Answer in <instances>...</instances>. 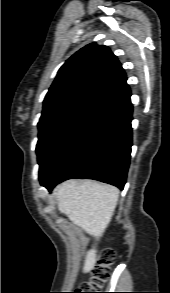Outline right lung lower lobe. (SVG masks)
<instances>
[{
    "label": "right lung lower lobe",
    "instance_id": "obj_1",
    "mask_svg": "<svg viewBox=\"0 0 170 293\" xmlns=\"http://www.w3.org/2000/svg\"><path fill=\"white\" fill-rule=\"evenodd\" d=\"M130 97L109 108L89 134L61 162L53 175L41 182L50 191L70 178H88L123 189L132 145Z\"/></svg>",
    "mask_w": 170,
    "mask_h": 293
}]
</instances>
